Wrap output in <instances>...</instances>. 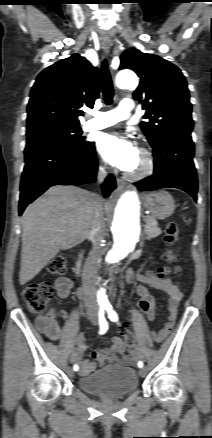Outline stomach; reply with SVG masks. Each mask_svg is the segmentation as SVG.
Instances as JSON below:
<instances>
[{
    "instance_id": "0dacf381",
    "label": "stomach",
    "mask_w": 212,
    "mask_h": 438,
    "mask_svg": "<svg viewBox=\"0 0 212 438\" xmlns=\"http://www.w3.org/2000/svg\"><path fill=\"white\" fill-rule=\"evenodd\" d=\"M143 202L153 217L158 219L169 217L175 209L174 200L166 191L148 193L143 197Z\"/></svg>"
}]
</instances>
